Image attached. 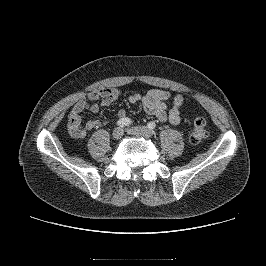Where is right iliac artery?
I'll return each instance as SVG.
<instances>
[{"mask_svg":"<svg viewBox=\"0 0 266 266\" xmlns=\"http://www.w3.org/2000/svg\"><path fill=\"white\" fill-rule=\"evenodd\" d=\"M130 124H132V121L129 118H121L117 121L119 127L129 126Z\"/></svg>","mask_w":266,"mask_h":266,"instance_id":"82829eb1","label":"right iliac artery"}]
</instances>
